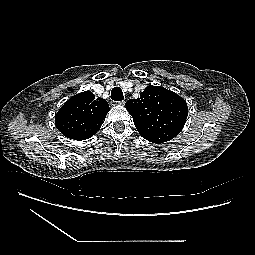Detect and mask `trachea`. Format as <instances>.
<instances>
[{
	"mask_svg": "<svg viewBox=\"0 0 255 255\" xmlns=\"http://www.w3.org/2000/svg\"><path fill=\"white\" fill-rule=\"evenodd\" d=\"M111 99L114 101H122L124 99V95L120 87H114L112 89Z\"/></svg>",
	"mask_w": 255,
	"mask_h": 255,
	"instance_id": "3493384b",
	"label": "trachea"
}]
</instances>
